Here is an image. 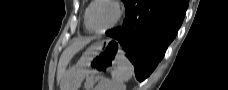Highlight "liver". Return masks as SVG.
<instances>
[{
    "mask_svg": "<svg viewBox=\"0 0 228 90\" xmlns=\"http://www.w3.org/2000/svg\"><path fill=\"white\" fill-rule=\"evenodd\" d=\"M91 40L92 38H77L61 54L57 69V81L60 83L61 88H63V80L70 60L76 53L90 43Z\"/></svg>",
    "mask_w": 228,
    "mask_h": 90,
    "instance_id": "1",
    "label": "liver"
}]
</instances>
